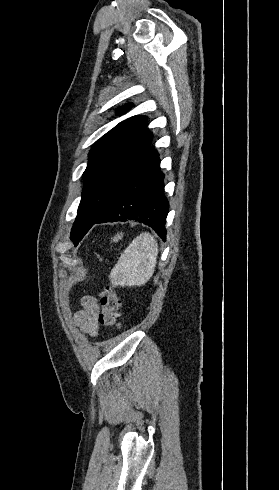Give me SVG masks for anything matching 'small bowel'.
Returning <instances> with one entry per match:
<instances>
[{
    "mask_svg": "<svg viewBox=\"0 0 279 490\" xmlns=\"http://www.w3.org/2000/svg\"><path fill=\"white\" fill-rule=\"evenodd\" d=\"M99 305L93 296L81 298V309L75 313V323L83 333L95 337L99 333Z\"/></svg>",
    "mask_w": 279,
    "mask_h": 490,
    "instance_id": "obj_1",
    "label": "small bowel"
}]
</instances>
